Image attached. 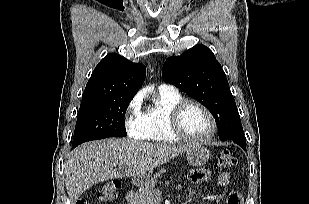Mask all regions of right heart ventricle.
I'll list each match as a JSON object with an SVG mask.
<instances>
[{"instance_id":"1","label":"right heart ventricle","mask_w":309,"mask_h":204,"mask_svg":"<svg viewBox=\"0 0 309 204\" xmlns=\"http://www.w3.org/2000/svg\"><path fill=\"white\" fill-rule=\"evenodd\" d=\"M183 97L176 92H161L154 99V104L148 107L142 113V139L159 142V143H174L179 140L170 130L168 124V116L170 110Z\"/></svg>"}]
</instances>
